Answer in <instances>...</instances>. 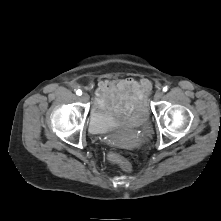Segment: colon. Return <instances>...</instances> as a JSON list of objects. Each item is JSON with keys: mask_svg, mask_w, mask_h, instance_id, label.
<instances>
[{"mask_svg": "<svg viewBox=\"0 0 221 221\" xmlns=\"http://www.w3.org/2000/svg\"><path fill=\"white\" fill-rule=\"evenodd\" d=\"M108 159L113 162L116 163L118 165L121 166V168L125 171V172H131L132 168L130 163L123 158L122 156H120L119 154L115 153V152H111L108 155Z\"/></svg>", "mask_w": 221, "mask_h": 221, "instance_id": "5ec220e1", "label": "colon"}]
</instances>
